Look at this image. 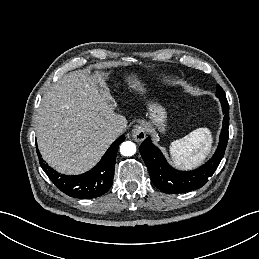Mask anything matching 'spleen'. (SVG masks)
Returning <instances> with one entry per match:
<instances>
[{
	"label": "spleen",
	"instance_id": "obj_1",
	"mask_svg": "<svg viewBox=\"0 0 259 259\" xmlns=\"http://www.w3.org/2000/svg\"><path fill=\"white\" fill-rule=\"evenodd\" d=\"M212 135L208 128H198L185 137L173 141L170 154L174 165L181 169L198 166L209 154Z\"/></svg>",
	"mask_w": 259,
	"mask_h": 259
}]
</instances>
